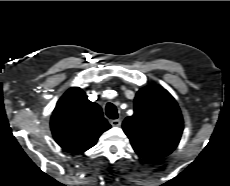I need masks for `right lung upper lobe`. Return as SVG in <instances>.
<instances>
[{"label": "right lung upper lobe", "instance_id": "1", "mask_svg": "<svg viewBox=\"0 0 230 186\" xmlns=\"http://www.w3.org/2000/svg\"><path fill=\"white\" fill-rule=\"evenodd\" d=\"M51 131L55 141L71 153L85 152L109 128L102 109L87 99L85 92L70 88L58 101L51 116Z\"/></svg>", "mask_w": 230, "mask_h": 186}]
</instances>
